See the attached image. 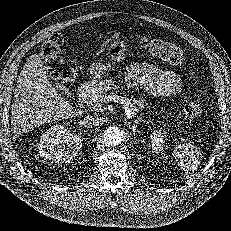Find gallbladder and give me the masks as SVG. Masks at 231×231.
Segmentation results:
<instances>
[{"label": "gallbladder", "mask_w": 231, "mask_h": 231, "mask_svg": "<svg viewBox=\"0 0 231 231\" xmlns=\"http://www.w3.org/2000/svg\"><path fill=\"white\" fill-rule=\"evenodd\" d=\"M46 72H47V76L54 80V85L57 87V89L61 93L65 94L67 96H71V91L68 88H66L65 86H61V83L59 82L60 78H58V77L54 78L52 76V73L48 69L46 70Z\"/></svg>", "instance_id": "gallbladder-1"}]
</instances>
